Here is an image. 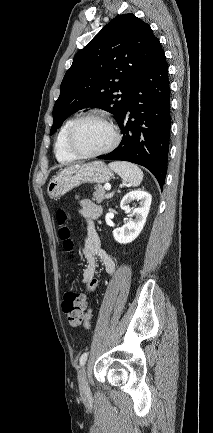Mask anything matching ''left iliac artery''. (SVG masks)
Returning a JSON list of instances; mask_svg holds the SVG:
<instances>
[{
	"instance_id": "44dca946",
	"label": "left iliac artery",
	"mask_w": 213,
	"mask_h": 433,
	"mask_svg": "<svg viewBox=\"0 0 213 433\" xmlns=\"http://www.w3.org/2000/svg\"><path fill=\"white\" fill-rule=\"evenodd\" d=\"M87 357H88V352H85L81 355L80 360H79L81 366H83L85 364Z\"/></svg>"
}]
</instances>
